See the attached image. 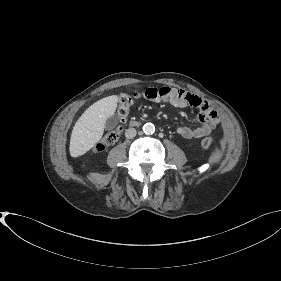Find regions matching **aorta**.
<instances>
[{
  "mask_svg": "<svg viewBox=\"0 0 281 281\" xmlns=\"http://www.w3.org/2000/svg\"><path fill=\"white\" fill-rule=\"evenodd\" d=\"M143 131L145 134H153L155 132V126L154 124L152 123H146L144 126H143Z\"/></svg>",
  "mask_w": 281,
  "mask_h": 281,
  "instance_id": "aorta-1",
  "label": "aorta"
}]
</instances>
